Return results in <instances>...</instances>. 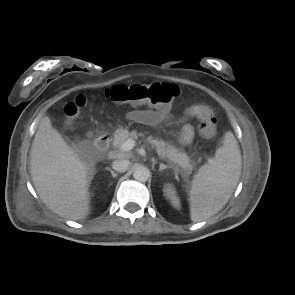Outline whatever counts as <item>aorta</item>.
I'll return each instance as SVG.
<instances>
[{
	"label": "aorta",
	"instance_id": "obj_1",
	"mask_svg": "<svg viewBox=\"0 0 295 295\" xmlns=\"http://www.w3.org/2000/svg\"><path fill=\"white\" fill-rule=\"evenodd\" d=\"M133 177L140 182H146L150 177V171L147 167L139 166L134 170Z\"/></svg>",
	"mask_w": 295,
	"mask_h": 295
}]
</instances>
